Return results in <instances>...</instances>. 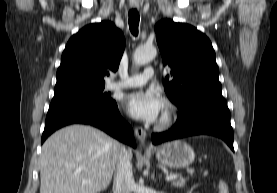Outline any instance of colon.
<instances>
[{
	"label": "colon",
	"instance_id": "1",
	"mask_svg": "<svg viewBox=\"0 0 277 193\" xmlns=\"http://www.w3.org/2000/svg\"><path fill=\"white\" fill-rule=\"evenodd\" d=\"M218 193H230L229 186L224 180L218 183Z\"/></svg>",
	"mask_w": 277,
	"mask_h": 193
}]
</instances>
